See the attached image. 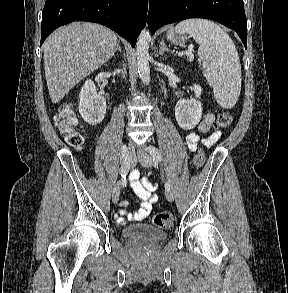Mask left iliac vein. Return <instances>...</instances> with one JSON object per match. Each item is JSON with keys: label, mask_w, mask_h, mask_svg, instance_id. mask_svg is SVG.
Listing matches in <instances>:
<instances>
[{"label": "left iliac vein", "mask_w": 288, "mask_h": 293, "mask_svg": "<svg viewBox=\"0 0 288 293\" xmlns=\"http://www.w3.org/2000/svg\"><path fill=\"white\" fill-rule=\"evenodd\" d=\"M137 158L140 164L144 167H151L153 165L152 157L145 152L137 154ZM165 196L170 202L174 200V195L170 190L165 191Z\"/></svg>", "instance_id": "1"}]
</instances>
